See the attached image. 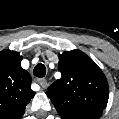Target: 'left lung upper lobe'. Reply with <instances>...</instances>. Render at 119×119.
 <instances>
[{
	"instance_id": "1",
	"label": "left lung upper lobe",
	"mask_w": 119,
	"mask_h": 119,
	"mask_svg": "<svg viewBox=\"0 0 119 119\" xmlns=\"http://www.w3.org/2000/svg\"><path fill=\"white\" fill-rule=\"evenodd\" d=\"M59 57L62 77L46 92L64 119H98L109 97L108 83L101 69L80 50Z\"/></svg>"
}]
</instances>
